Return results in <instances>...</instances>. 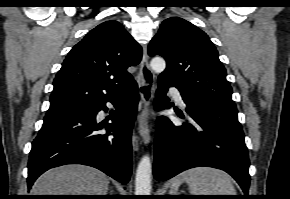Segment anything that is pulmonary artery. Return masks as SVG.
I'll return each instance as SVG.
<instances>
[{
	"instance_id": "obj_1",
	"label": "pulmonary artery",
	"mask_w": 290,
	"mask_h": 199,
	"mask_svg": "<svg viewBox=\"0 0 290 199\" xmlns=\"http://www.w3.org/2000/svg\"><path fill=\"white\" fill-rule=\"evenodd\" d=\"M171 93H172V95H173L175 101H176L179 105L183 106V105H184V102H183V99H182V96H181L179 90L176 89V88H171Z\"/></svg>"
}]
</instances>
